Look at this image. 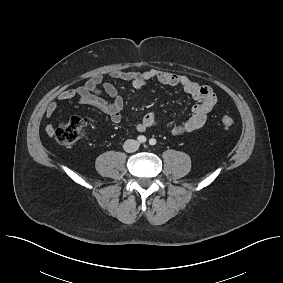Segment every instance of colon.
I'll return each mask as SVG.
<instances>
[{
  "label": "colon",
  "instance_id": "5ec220e1",
  "mask_svg": "<svg viewBox=\"0 0 283 283\" xmlns=\"http://www.w3.org/2000/svg\"><path fill=\"white\" fill-rule=\"evenodd\" d=\"M221 124L225 128H231L235 121L230 116H223ZM86 122L81 117H73L72 119L59 124L54 131V138L57 143L65 147L74 146L79 139L86 134Z\"/></svg>",
  "mask_w": 283,
  "mask_h": 283
}]
</instances>
